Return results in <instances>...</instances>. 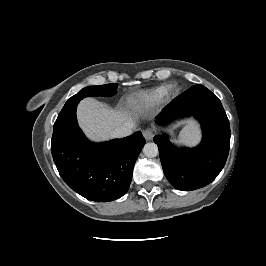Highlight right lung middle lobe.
<instances>
[{
	"mask_svg": "<svg viewBox=\"0 0 266 266\" xmlns=\"http://www.w3.org/2000/svg\"><path fill=\"white\" fill-rule=\"evenodd\" d=\"M118 84L112 83V84H105L100 86H89L86 88H83L80 90L76 95L72 96L67 100L63 108H66L67 106L79 102L85 97L89 96H112L116 94Z\"/></svg>",
	"mask_w": 266,
	"mask_h": 266,
	"instance_id": "dd1d6c3e",
	"label": "right lung middle lobe"
}]
</instances>
